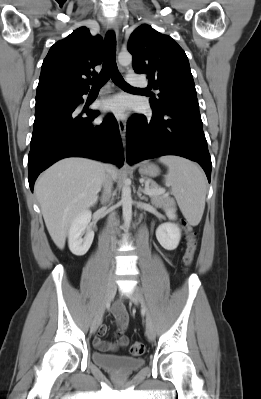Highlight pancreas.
<instances>
[{
  "label": "pancreas",
  "instance_id": "cf45deb5",
  "mask_svg": "<svg viewBox=\"0 0 261 399\" xmlns=\"http://www.w3.org/2000/svg\"><path fill=\"white\" fill-rule=\"evenodd\" d=\"M148 187L156 192L155 194L150 195L152 202L155 203L156 205L161 206L164 203H169V204L174 203V201L171 198H169L167 194L158 193L161 188L154 181L149 180Z\"/></svg>",
  "mask_w": 261,
  "mask_h": 399
}]
</instances>
